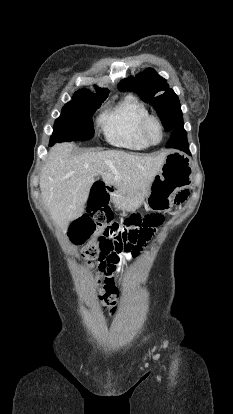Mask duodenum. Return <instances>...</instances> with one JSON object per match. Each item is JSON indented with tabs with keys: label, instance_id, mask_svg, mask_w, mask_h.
I'll list each match as a JSON object with an SVG mask.
<instances>
[{
	"label": "duodenum",
	"instance_id": "1",
	"mask_svg": "<svg viewBox=\"0 0 233 414\" xmlns=\"http://www.w3.org/2000/svg\"><path fill=\"white\" fill-rule=\"evenodd\" d=\"M116 187L103 179L97 178L91 188L90 198L85 206L87 212H99L102 207L108 206L107 197L115 194Z\"/></svg>",
	"mask_w": 233,
	"mask_h": 414
}]
</instances>
